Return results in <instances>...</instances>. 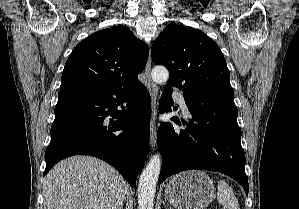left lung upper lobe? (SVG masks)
<instances>
[{
    "mask_svg": "<svg viewBox=\"0 0 299 209\" xmlns=\"http://www.w3.org/2000/svg\"><path fill=\"white\" fill-rule=\"evenodd\" d=\"M151 56L154 64L169 70L166 86L183 93L234 96L223 53L197 29L171 23L153 42Z\"/></svg>",
    "mask_w": 299,
    "mask_h": 209,
    "instance_id": "1",
    "label": "left lung upper lobe"
}]
</instances>
